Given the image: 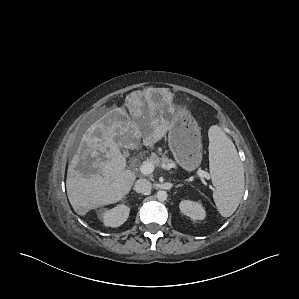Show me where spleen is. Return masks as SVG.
<instances>
[{
	"mask_svg": "<svg viewBox=\"0 0 299 299\" xmlns=\"http://www.w3.org/2000/svg\"><path fill=\"white\" fill-rule=\"evenodd\" d=\"M209 168L215 191L213 199L219 213L230 217L244 192V170L231 139L217 125L209 128Z\"/></svg>",
	"mask_w": 299,
	"mask_h": 299,
	"instance_id": "spleen-1",
	"label": "spleen"
}]
</instances>
